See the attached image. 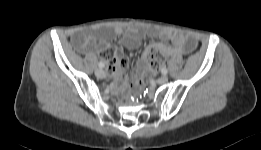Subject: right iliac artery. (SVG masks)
<instances>
[{"mask_svg":"<svg viewBox=\"0 0 261 150\" xmlns=\"http://www.w3.org/2000/svg\"><path fill=\"white\" fill-rule=\"evenodd\" d=\"M98 66H99L100 68H103V67H104V64H103L102 62H99Z\"/></svg>","mask_w":261,"mask_h":150,"instance_id":"right-iliac-artery-1","label":"right iliac artery"}]
</instances>
